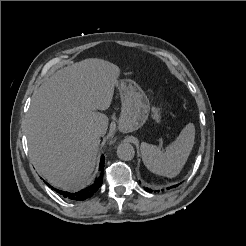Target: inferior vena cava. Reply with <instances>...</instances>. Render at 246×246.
Returning a JSON list of instances; mask_svg holds the SVG:
<instances>
[{"label": "inferior vena cava", "mask_w": 246, "mask_h": 246, "mask_svg": "<svg viewBox=\"0 0 246 246\" xmlns=\"http://www.w3.org/2000/svg\"><path fill=\"white\" fill-rule=\"evenodd\" d=\"M94 133L97 136H101L103 133V130L100 127H97V128H95Z\"/></svg>", "instance_id": "inferior-vena-cava-1"}]
</instances>
